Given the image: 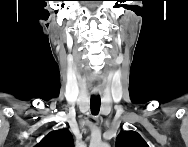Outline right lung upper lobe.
I'll use <instances>...</instances> for the list:
<instances>
[{
	"instance_id": "1",
	"label": "right lung upper lobe",
	"mask_w": 188,
	"mask_h": 147,
	"mask_svg": "<svg viewBox=\"0 0 188 147\" xmlns=\"http://www.w3.org/2000/svg\"><path fill=\"white\" fill-rule=\"evenodd\" d=\"M73 137L68 129L52 131L37 145L38 147H73Z\"/></svg>"
}]
</instances>
